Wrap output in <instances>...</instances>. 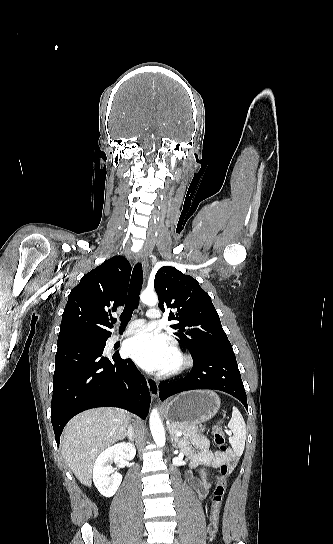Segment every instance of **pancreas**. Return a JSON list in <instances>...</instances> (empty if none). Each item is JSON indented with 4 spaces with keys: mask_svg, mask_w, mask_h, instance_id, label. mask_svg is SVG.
Masks as SVG:
<instances>
[{
    "mask_svg": "<svg viewBox=\"0 0 333 544\" xmlns=\"http://www.w3.org/2000/svg\"><path fill=\"white\" fill-rule=\"evenodd\" d=\"M169 432H181L185 436H195L200 430L198 426H185L178 423H170L167 425Z\"/></svg>",
    "mask_w": 333,
    "mask_h": 544,
    "instance_id": "obj_1",
    "label": "pancreas"
}]
</instances>
